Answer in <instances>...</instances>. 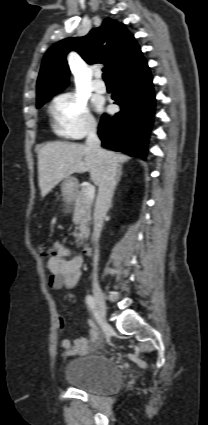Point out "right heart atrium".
I'll list each match as a JSON object with an SVG mask.
<instances>
[{"instance_id": "right-heart-atrium-1", "label": "right heart atrium", "mask_w": 208, "mask_h": 425, "mask_svg": "<svg viewBox=\"0 0 208 425\" xmlns=\"http://www.w3.org/2000/svg\"><path fill=\"white\" fill-rule=\"evenodd\" d=\"M51 113L56 130L65 137L80 139L95 132V121L86 101L74 93L58 95Z\"/></svg>"}]
</instances>
